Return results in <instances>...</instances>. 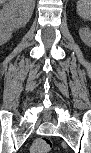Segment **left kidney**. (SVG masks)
<instances>
[{"label": "left kidney", "instance_id": "left-kidney-1", "mask_svg": "<svg viewBox=\"0 0 91 153\" xmlns=\"http://www.w3.org/2000/svg\"><path fill=\"white\" fill-rule=\"evenodd\" d=\"M79 35H80V38L82 39V41L86 44V45H90L91 44V32H90V29L89 27H84V28H81L79 30Z\"/></svg>", "mask_w": 91, "mask_h": 153}]
</instances>
